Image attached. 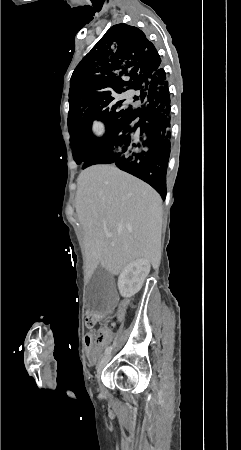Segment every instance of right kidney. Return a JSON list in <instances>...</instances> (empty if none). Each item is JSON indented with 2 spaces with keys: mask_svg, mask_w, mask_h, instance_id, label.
Masks as SVG:
<instances>
[{
  "mask_svg": "<svg viewBox=\"0 0 241 450\" xmlns=\"http://www.w3.org/2000/svg\"><path fill=\"white\" fill-rule=\"evenodd\" d=\"M149 260H134L123 268L118 278V290L123 298H131L141 290L145 278L150 272Z\"/></svg>",
  "mask_w": 241,
  "mask_h": 450,
  "instance_id": "1",
  "label": "right kidney"
}]
</instances>
